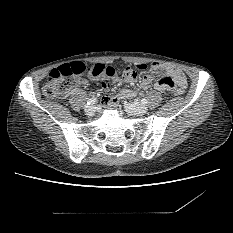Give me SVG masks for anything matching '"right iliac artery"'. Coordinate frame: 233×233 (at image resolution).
<instances>
[{
	"label": "right iliac artery",
	"instance_id": "1",
	"mask_svg": "<svg viewBox=\"0 0 233 233\" xmlns=\"http://www.w3.org/2000/svg\"><path fill=\"white\" fill-rule=\"evenodd\" d=\"M96 101H97V99H96L95 97H93V98H91V99H89V100L87 101V105H93V104L96 103Z\"/></svg>",
	"mask_w": 233,
	"mask_h": 233
}]
</instances>
